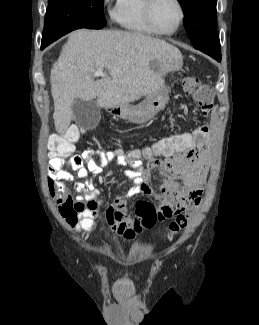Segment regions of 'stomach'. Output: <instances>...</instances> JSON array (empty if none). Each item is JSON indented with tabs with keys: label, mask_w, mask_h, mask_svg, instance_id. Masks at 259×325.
<instances>
[{
	"label": "stomach",
	"mask_w": 259,
	"mask_h": 325,
	"mask_svg": "<svg viewBox=\"0 0 259 325\" xmlns=\"http://www.w3.org/2000/svg\"><path fill=\"white\" fill-rule=\"evenodd\" d=\"M169 90V86H164L158 91L148 95L137 105L129 103L117 104L108 107L107 110L114 116L129 120L132 123L141 124L164 109L168 102Z\"/></svg>",
	"instance_id": "0dacf381"
}]
</instances>
